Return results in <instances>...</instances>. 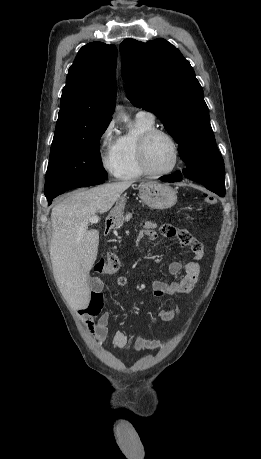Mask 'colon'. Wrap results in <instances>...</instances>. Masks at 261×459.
I'll list each match as a JSON object with an SVG mask.
<instances>
[{
    "label": "colon",
    "instance_id": "1",
    "mask_svg": "<svg viewBox=\"0 0 261 459\" xmlns=\"http://www.w3.org/2000/svg\"><path fill=\"white\" fill-rule=\"evenodd\" d=\"M204 200L208 204H214L216 198L208 194V191H205ZM161 232L165 236H170L173 232L172 227L168 225L161 226ZM120 260L115 254H108L105 257L100 258L94 266V270L99 274L111 275L116 273L120 268ZM104 304V297L101 293H93L91 297L90 304L83 310L84 314L89 316H97L101 312Z\"/></svg>",
    "mask_w": 261,
    "mask_h": 459
}]
</instances>
